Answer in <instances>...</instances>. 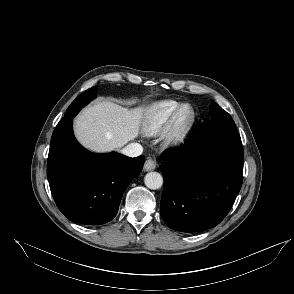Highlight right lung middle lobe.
<instances>
[{"label":"right lung middle lobe","mask_w":294,"mask_h":294,"mask_svg":"<svg viewBox=\"0 0 294 294\" xmlns=\"http://www.w3.org/2000/svg\"><path fill=\"white\" fill-rule=\"evenodd\" d=\"M90 101L91 99L88 98V92H83L71 103L61 121L75 117V115L81 110V108L88 104Z\"/></svg>","instance_id":"right-lung-middle-lobe-1"}]
</instances>
